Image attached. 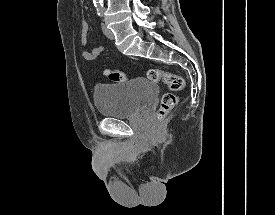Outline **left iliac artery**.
I'll use <instances>...</instances> for the list:
<instances>
[{"label":"left iliac artery","mask_w":275,"mask_h":215,"mask_svg":"<svg viewBox=\"0 0 275 215\" xmlns=\"http://www.w3.org/2000/svg\"><path fill=\"white\" fill-rule=\"evenodd\" d=\"M97 12L99 16L103 15V6L102 7H97Z\"/></svg>","instance_id":"obj_1"}]
</instances>
